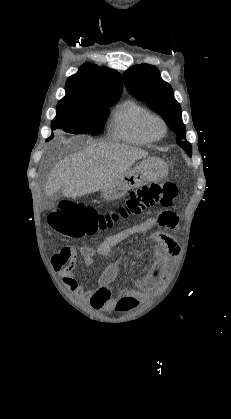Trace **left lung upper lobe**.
Instances as JSON below:
<instances>
[{"label": "left lung upper lobe", "instance_id": "left-lung-upper-lobe-1", "mask_svg": "<svg viewBox=\"0 0 231 419\" xmlns=\"http://www.w3.org/2000/svg\"><path fill=\"white\" fill-rule=\"evenodd\" d=\"M126 88L153 111L157 112L177 135V144L191 156L192 148L186 142L180 104L175 100L172 87L165 82L159 70L149 64L130 67L124 72Z\"/></svg>", "mask_w": 231, "mask_h": 419}]
</instances>
